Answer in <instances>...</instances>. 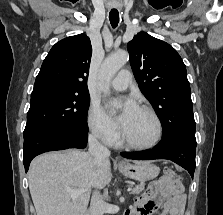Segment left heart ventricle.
I'll list each match as a JSON object with an SVG mask.
<instances>
[{
	"label": "left heart ventricle",
	"instance_id": "1",
	"mask_svg": "<svg viewBox=\"0 0 223 215\" xmlns=\"http://www.w3.org/2000/svg\"><path fill=\"white\" fill-rule=\"evenodd\" d=\"M154 136L155 124L152 118L148 113L138 108L127 122L121 126L122 139L134 144H148Z\"/></svg>",
	"mask_w": 223,
	"mask_h": 215
}]
</instances>
